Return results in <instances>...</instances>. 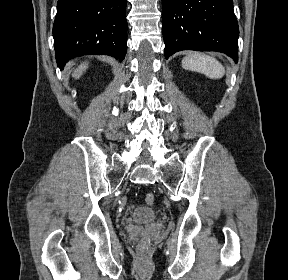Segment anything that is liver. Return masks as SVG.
<instances>
[{
  "label": "liver",
  "mask_w": 288,
  "mask_h": 280,
  "mask_svg": "<svg viewBox=\"0 0 288 280\" xmlns=\"http://www.w3.org/2000/svg\"><path fill=\"white\" fill-rule=\"evenodd\" d=\"M88 64L87 63H83L82 65H80L75 71L74 73L72 74V76L75 78V79H78L81 77V75L83 74V72L86 70Z\"/></svg>",
  "instance_id": "1"
}]
</instances>
